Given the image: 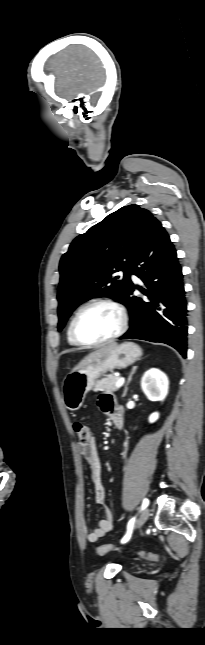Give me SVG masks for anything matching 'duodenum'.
<instances>
[{"label": "duodenum", "instance_id": "obj_1", "mask_svg": "<svg viewBox=\"0 0 205 645\" xmlns=\"http://www.w3.org/2000/svg\"><path fill=\"white\" fill-rule=\"evenodd\" d=\"M113 420H114V422H115L116 426H117V427H119V428H121V426H122V419H121V416H116Z\"/></svg>", "mask_w": 205, "mask_h": 645}]
</instances>
